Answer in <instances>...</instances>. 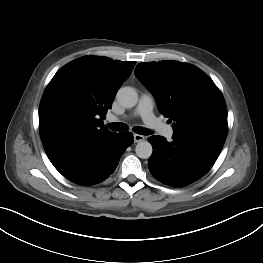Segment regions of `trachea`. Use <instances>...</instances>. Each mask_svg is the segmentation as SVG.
Segmentation results:
<instances>
[{
	"label": "trachea",
	"mask_w": 263,
	"mask_h": 263,
	"mask_svg": "<svg viewBox=\"0 0 263 263\" xmlns=\"http://www.w3.org/2000/svg\"><path fill=\"white\" fill-rule=\"evenodd\" d=\"M108 127L112 130V131H125L127 130V125L124 123H110L108 124ZM133 131L137 134L140 135H150L152 134V132L144 127H139L136 126L133 128Z\"/></svg>",
	"instance_id": "trachea-1"
}]
</instances>
